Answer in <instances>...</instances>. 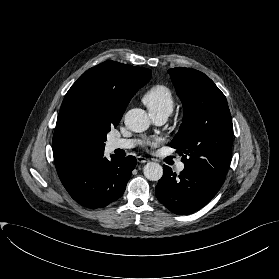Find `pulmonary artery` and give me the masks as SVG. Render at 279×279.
<instances>
[{
  "label": "pulmonary artery",
  "instance_id": "pulmonary-artery-1",
  "mask_svg": "<svg viewBox=\"0 0 279 279\" xmlns=\"http://www.w3.org/2000/svg\"><path fill=\"white\" fill-rule=\"evenodd\" d=\"M168 113H158V114H153L151 115L155 123L161 125L166 122L168 118ZM135 145V141L131 139H111L109 142V146L112 150L115 149H129L132 148ZM185 168V165L183 162H179L176 165V170L178 172L183 171Z\"/></svg>",
  "mask_w": 279,
  "mask_h": 279
}]
</instances>
